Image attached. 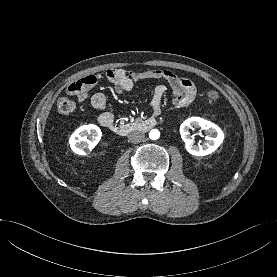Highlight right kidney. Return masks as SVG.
Segmentation results:
<instances>
[{"label":"right kidney","mask_w":277,"mask_h":277,"mask_svg":"<svg viewBox=\"0 0 277 277\" xmlns=\"http://www.w3.org/2000/svg\"><path fill=\"white\" fill-rule=\"evenodd\" d=\"M101 135L102 133L98 126L94 124L83 125L71 135L69 144L74 153L86 155V151L92 150L100 141Z\"/></svg>","instance_id":"ca27d5eb"}]
</instances>
